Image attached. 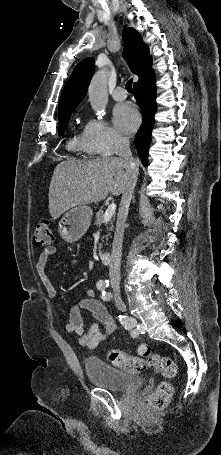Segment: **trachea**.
<instances>
[{
	"label": "trachea",
	"instance_id": "trachea-1",
	"mask_svg": "<svg viewBox=\"0 0 221 455\" xmlns=\"http://www.w3.org/2000/svg\"><path fill=\"white\" fill-rule=\"evenodd\" d=\"M132 79H130L129 81H127V83L125 84V88L128 92H133V89H132Z\"/></svg>",
	"mask_w": 221,
	"mask_h": 455
}]
</instances>
